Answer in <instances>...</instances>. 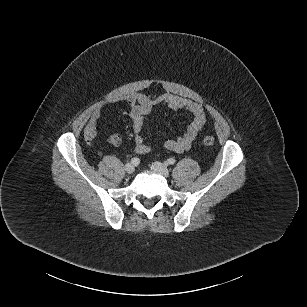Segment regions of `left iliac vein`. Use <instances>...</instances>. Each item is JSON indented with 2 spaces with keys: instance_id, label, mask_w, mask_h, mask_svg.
Wrapping results in <instances>:
<instances>
[{
  "instance_id": "4c4485c4",
  "label": "left iliac vein",
  "mask_w": 307,
  "mask_h": 307,
  "mask_svg": "<svg viewBox=\"0 0 307 307\" xmlns=\"http://www.w3.org/2000/svg\"><path fill=\"white\" fill-rule=\"evenodd\" d=\"M151 169L159 174H161L162 176H164L165 178L169 177V170L167 168L166 165H164L161 162H154L151 165Z\"/></svg>"
}]
</instances>
